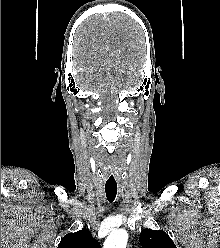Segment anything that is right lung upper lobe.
<instances>
[{
	"label": "right lung upper lobe",
	"mask_w": 220,
	"mask_h": 248,
	"mask_svg": "<svg viewBox=\"0 0 220 248\" xmlns=\"http://www.w3.org/2000/svg\"><path fill=\"white\" fill-rule=\"evenodd\" d=\"M57 248H100V244L88 229L83 228L78 232L65 235Z\"/></svg>",
	"instance_id": "1"
}]
</instances>
